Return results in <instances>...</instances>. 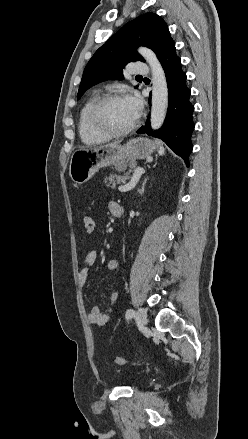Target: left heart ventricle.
I'll return each mask as SVG.
<instances>
[{
    "instance_id": "b2bd125f",
    "label": "left heart ventricle",
    "mask_w": 248,
    "mask_h": 439,
    "mask_svg": "<svg viewBox=\"0 0 248 439\" xmlns=\"http://www.w3.org/2000/svg\"><path fill=\"white\" fill-rule=\"evenodd\" d=\"M102 118L109 128L122 130L129 127L135 121L136 115L125 99H120L106 105Z\"/></svg>"
}]
</instances>
